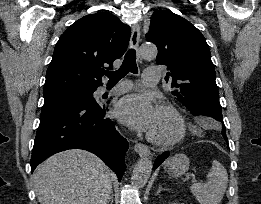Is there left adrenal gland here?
I'll return each instance as SVG.
<instances>
[{"mask_svg": "<svg viewBox=\"0 0 261 204\" xmlns=\"http://www.w3.org/2000/svg\"><path fill=\"white\" fill-rule=\"evenodd\" d=\"M163 190H167L166 188H163L161 185L159 186V189H158V191H157V195H159V193L161 192V191H163Z\"/></svg>", "mask_w": 261, "mask_h": 204, "instance_id": "obj_1", "label": "left adrenal gland"}]
</instances>
